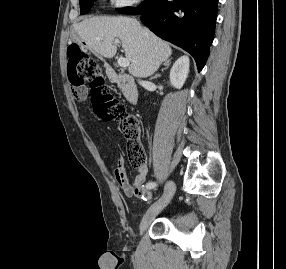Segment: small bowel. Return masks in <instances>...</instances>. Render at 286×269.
<instances>
[{"instance_id":"1","label":"small bowel","mask_w":286,"mask_h":269,"mask_svg":"<svg viewBox=\"0 0 286 269\" xmlns=\"http://www.w3.org/2000/svg\"><path fill=\"white\" fill-rule=\"evenodd\" d=\"M85 97L84 90L80 91L78 99H83ZM148 174V166L147 164L138 168V174L135 176L132 182L129 181L125 162L120 157L117 160L116 167L114 169V177L118 187L127 195L133 196L135 194V189L139 186H142L144 183L146 176Z\"/></svg>"}]
</instances>
